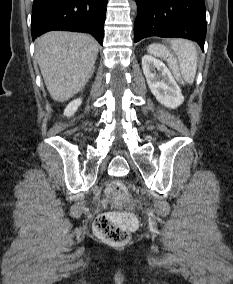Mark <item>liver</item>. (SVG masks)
<instances>
[{
    "label": "liver",
    "instance_id": "6515ba94",
    "mask_svg": "<svg viewBox=\"0 0 233 284\" xmlns=\"http://www.w3.org/2000/svg\"><path fill=\"white\" fill-rule=\"evenodd\" d=\"M35 43V55L54 100L65 102L85 87L94 71L99 47L92 36L52 31Z\"/></svg>",
    "mask_w": 233,
    "mask_h": 284
}]
</instances>
